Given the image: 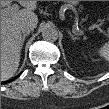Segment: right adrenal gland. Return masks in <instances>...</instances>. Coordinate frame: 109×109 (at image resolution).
I'll list each match as a JSON object with an SVG mask.
<instances>
[{"label": "right adrenal gland", "instance_id": "2a0ac1e0", "mask_svg": "<svg viewBox=\"0 0 109 109\" xmlns=\"http://www.w3.org/2000/svg\"><path fill=\"white\" fill-rule=\"evenodd\" d=\"M27 36V34L25 33V34H23V36H22V44L24 43V40H25V37Z\"/></svg>", "mask_w": 109, "mask_h": 109}]
</instances>
